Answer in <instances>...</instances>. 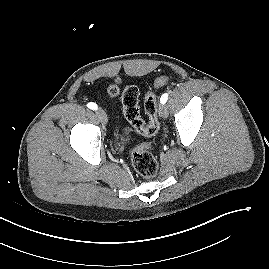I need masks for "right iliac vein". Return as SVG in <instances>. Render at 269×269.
Instances as JSON below:
<instances>
[{
    "label": "right iliac vein",
    "instance_id": "right-iliac-vein-1",
    "mask_svg": "<svg viewBox=\"0 0 269 269\" xmlns=\"http://www.w3.org/2000/svg\"><path fill=\"white\" fill-rule=\"evenodd\" d=\"M96 114H97L99 120H100L103 124H106V123H107L108 118H107V115H106V113H105L104 110H102V109H97Z\"/></svg>",
    "mask_w": 269,
    "mask_h": 269
}]
</instances>
